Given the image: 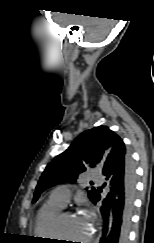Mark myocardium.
<instances>
[{"instance_id":"f54148a6","label":"myocardium","mask_w":154,"mask_h":243,"mask_svg":"<svg viewBox=\"0 0 154 243\" xmlns=\"http://www.w3.org/2000/svg\"><path fill=\"white\" fill-rule=\"evenodd\" d=\"M65 215H71V213L69 211L59 213L56 216V218L54 219V222H53V234H54V237L57 240H61V241H63V237H62L61 232H60V220ZM92 238H93V233L91 232L90 235L85 240L82 241V243H90Z\"/></svg>"}]
</instances>
